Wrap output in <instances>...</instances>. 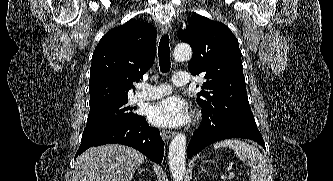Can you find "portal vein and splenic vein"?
Listing matches in <instances>:
<instances>
[{
	"instance_id": "portal-vein-and-splenic-vein-1",
	"label": "portal vein and splenic vein",
	"mask_w": 333,
	"mask_h": 181,
	"mask_svg": "<svg viewBox=\"0 0 333 181\" xmlns=\"http://www.w3.org/2000/svg\"><path fill=\"white\" fill-rule=\"evenodd\" d=\"M235 177V174L233 172H231L229 175H228V179H232Z\"/></svg>"
}]
</instances>
